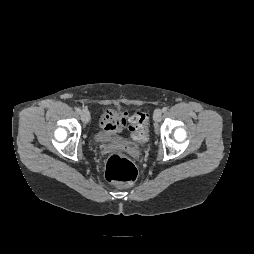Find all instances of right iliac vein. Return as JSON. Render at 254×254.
<instances>
[{
    "label": "right iliac vein",
    "mask_w": 254,
    "mask_h": 254,
    "mask_svg": "<svg viewBox=\"0 0 254 254\" xmlns=\"http://www.w3.org/2000/svg\"><path fill=\"white\" fill-rule=\"evenodd\" d=\"M81 119L84 123H88L89 120H90V114L88 112V110L84 109L82 112H81Z\"/></svg>",
    "instance_id": "63e3f726"
}]
</instances>
